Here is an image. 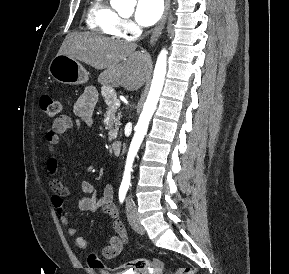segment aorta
I'll use <instances>...</instances> for the list:
<instances>
[{
  "instance_id": "aorta-1",
  "label": "aorta",
  "mask_w": 289,
  "mask_h": 274,
  "mask_svg": "<svg viewBox=\"0 0 289 274\" xmlns=\"http://www.w3.org/2000/svg\"><path fill=\"white\" fill-rule=\"evenodd\" d=\"M131 1L132 0H111V5L114 8L122 9L130 6ZM166 68H167V51L163 49L157 58L150 91L147 100L144 104L142 113L139 117L138 123L135 127V134L129 147L122 181L123 184H129L130 182V173L132 171V164L139 150V147L144 139V136L147 132L149 122L157 107L159 97L164 85Z\"/></svg>"
}]
</instances>
